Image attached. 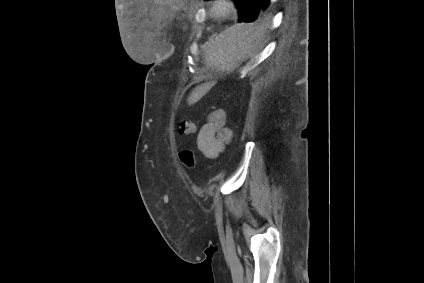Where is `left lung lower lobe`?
<instances>
[{
    "label": "left lung lower lobe",
    "instance_id": "0a47b994",
    "mask_svg": "<svg viewBox=\"0 0 424 283\" xmlns=\"http://www.w3.org/2000/svg\"><path fill=\"white\" fill-rule=\"evenodd\" d=\"M269 2H270V0H265V1L262 3V5H261V7H260V11H261L262 13H266V12L268 11Z\"/></svg>",
    "mask_w": 424,
    "mask_h": 283
}]
</instances>
